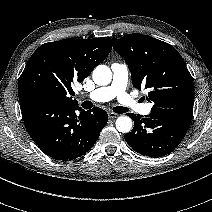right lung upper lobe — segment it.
Segmentation results:
<instances>
[{
	"instance_id": "obj_1",
	"label": "right lung upper lobe",
	"mask_w": 212,
	"mask_h": 212,
	"mask_svg": "<svg viewBox=\"0 0 212 212\" xmlns=\"http://www.w3.org/2000/svg\"><path fill=\"white\" fill-rule=\"evenodd\" d=\"M111 38L64 39L41 45L32 54L19 83L20 108L41 103L77 105L71 84L82 82L110 53Z\"/></svg>"
}]
</instances>
